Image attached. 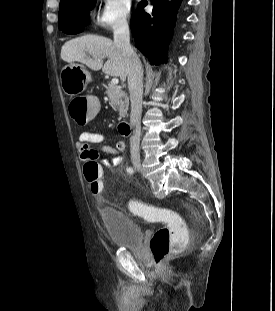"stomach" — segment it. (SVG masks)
<instances>
[{"instance_id":"stomach-1","label":"stomach","mask_w":275,"mask_h":311,"mask_svg":"<svg viewBox=\"0 0 275 311\" xmlns=\"http://www.w3.org/2000/svg\"><path fill=\"white\" fill-rule=\"evenodd\" d=\"M90 81L89 71L80 64L70 63L60 73L61 88L69 96L81 94Z\"/></svg>"}]
</instances>
